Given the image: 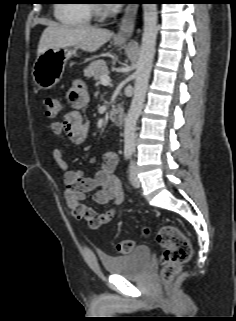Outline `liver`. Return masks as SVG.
Wrapping results in <instances>:
<instances>
[{"label":"liver","instance_id":"1","mask_svg":"<svg viewBox=\"0 0 236 321\" xmlns=\"http://www.w3.org/2000/svg\"><path fill=\"white\" fill-rule=\"evenodd\" d=\"M113 33L107 29L77 26L69 27L50 24L41 35L37 56L53 47H75L87 52H95L108 42Z\"/></svg>","mask_w":236,"mask_h":321}]
</instances>
